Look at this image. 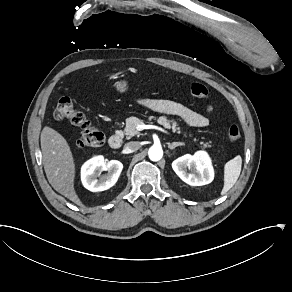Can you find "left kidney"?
Masks as SVG:
<instances>
[{
  "mask_svg": "<svg viewBox=\"0 0 292 292\" xmlns=\"http://www.w3.org/2000/svg\"><path fill=\"white\" fill-rule=\"evenodd\" d=\"M172 168L181 180L191 186L207 185L214 178L210 160L204 152L182 156L172 163Z\"/></svg>",
  "mask_w": 292,
  "mask_h": 292,
  "instance_id": "obj_1",
  "label": "left kidney"
}]
</instances>
